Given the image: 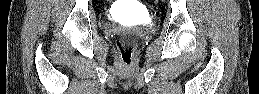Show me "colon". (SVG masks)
Returning a JSON list of instances; mask_svg holds the SVG:
<instances>
[{"label":"colon","instance_id":"1","mask_svg":"<svg viewBox=\"0 0 259 94\" xmlns=\"http://www.w3.org/2000/svg\"><path fill=\"white\" fill-rule=\"evenodd\" d=\"M117 45L121 55L122 64L129 67L132 63V52L135 46L133 35H126L118 39Z\"/></svg>","mask_w":259,"mask_h":94}]
</instances>
